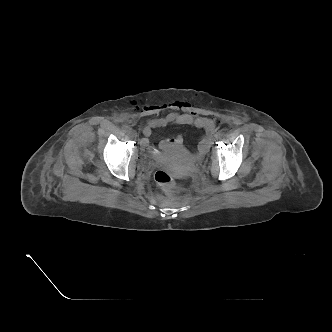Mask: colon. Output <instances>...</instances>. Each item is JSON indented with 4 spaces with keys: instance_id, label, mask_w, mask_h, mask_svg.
<instances>
[{
    "instance_id": "1",
    "label": "colon",
    "mask_w": 332,
    "mask_h": 332,
    "mask_svg": "<svg viewBox=\"0 0 332 332\" xmlns=\"http://www.w3.org/2000/svg\"><path fill=\"white\" fill-rule=\"evenodd\" d=\"M155 181L166 192H173L176 189V181L173 176L165 170H158L155 173Z\"/></svg>"
}]
</instances>
